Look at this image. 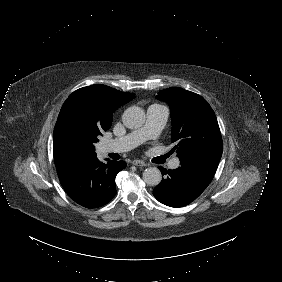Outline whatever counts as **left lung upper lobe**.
Masks as SVG:
<instances>
[{
  "instance_id": "1",
  "label": "left lung upper lobe",
  "mask_w": 282,
  "mask_h": 282,
  "mask_svg": "<svg viewBox=\"0 0 282 282\" xmlns=\"http://www.w3.org/2000/svg\"><path fill=\"white\" fill-rule=\"evenodd\" d=\"M157 99L170 105L173 148L180 160L194 155L221 157L222 137L214 111L196 93L179 87L162 90Z\"/></svg>"
}]
</instances>
